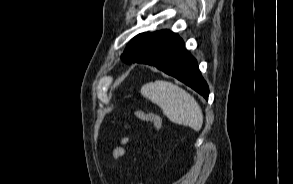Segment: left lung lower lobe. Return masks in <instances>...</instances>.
<instances>
[{
  "mask_svg": "<svg viewBox=\"0 0 293 184\" xmlns=\"http://www.w3.org/2000/svg\"><path fill=\"white\" fill-rule=\"evenodd\" d=\"M149 58L139 63L153 65L168 75L182 81L206 100L209 88L202 78L195 58L185 49L178 34L162 30L147 42Z\"/></svg>",
  "mask_w": 293,
  "mask_h": 184,
  "instance_id": "obj_1",
  "label": "left lung lower lobe"
}]
</instances>
